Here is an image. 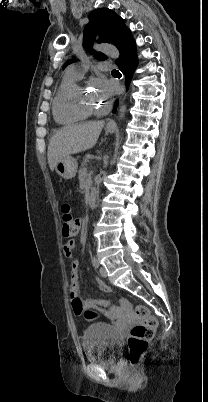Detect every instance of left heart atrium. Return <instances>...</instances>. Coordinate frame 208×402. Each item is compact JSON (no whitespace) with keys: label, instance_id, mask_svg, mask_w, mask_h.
Segmentation results:
<instances>
[{"label":"left heart atrium","instance_id":"39dd6f15","mask_svg":"<svg viewBox=\"0 0 208 402\" xmlns=\"http://www.w3.org/2000/svg\"><path fill=\"white\" fill-rule=\"evenodd\" d=\"M98 84H99V88H100L101 92L103 93V95L105 97H108L112 94L113 85L110 82H108L106 80H99ZM103 95H101V97H102V99H105L103 97Z\"/></svg>","mask_w":208,"mask_h":402}]
</instances>
